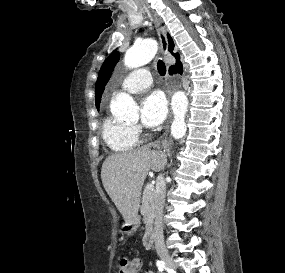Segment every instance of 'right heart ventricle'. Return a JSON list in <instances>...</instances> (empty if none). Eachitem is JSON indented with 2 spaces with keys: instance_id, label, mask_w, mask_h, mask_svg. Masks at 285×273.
Listing matches in <instances>:
<instances>
[{
  "instance_id": "right-heart-ventricle-1",
  "label": "right heart ventricle",
  "mask_w": 285,
  "mask_h": 273,
  "mask_svg": "<svg viewBox=\"0 0 285 273\" xmlns=\"http://www.w3.org/2000/svg\"><path fill=\"white\" fill-rule=\"evenodd\" d=\"M102 138L107 147L117 153L128 152L138 144L136 130L123 122L106 116L102 123Z\"/></svg>"
}]
</instances>
